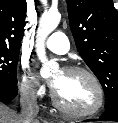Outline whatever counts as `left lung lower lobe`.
<instances>
[{"instance_id":"1","label":"left lung lower lobe","mask_w":118,"mask_h":123,"mask_svg":"<svg viewBox=\"0 0 118 123\" xmlns=\"http://www.w3.org/2000/svg\"><path fill=\"white\" fill-rule=\"evenodd\" d=\"M90 120H92V119H90ZM90 120H87V121H90ZM106 120L118 122V108H114L112 110L105 111L102 114V116L99 118V121H106Z\"/></svg>"}]
</instances>
